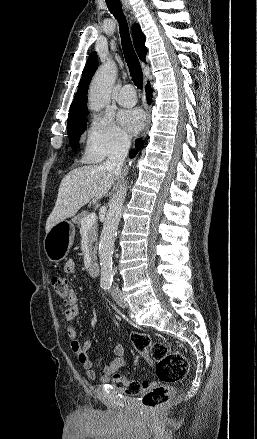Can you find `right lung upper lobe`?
<instances>
[{"mask_svg": "<svg viewBox=\"0 0 257 439\" xmlns=\"http://www.w3.org/2000/svg\"><path fill=\"white\" fill-rule=\"evenodd\" d=\"M133 41L135 45V49L138 53L139 58L142 61H145V56L147 53V48L145 46V36L141 31V28L138 24L133 25ZM98 68V57L96 52H92L87 60L86 66L82 73V78L80 80L79 89L75 95V98L72 102L69 117L70 116H81L86 115L88 113L86 100H87V91L89 87V83L91 81L92 76Z\"/></svg>", "mask_w": 257, "mask_h": 439, "instance_id": "right-lung-upper-lobe-1", "label": "right lung upper lobe"}]
</instances>
